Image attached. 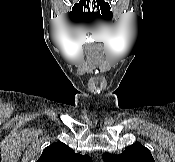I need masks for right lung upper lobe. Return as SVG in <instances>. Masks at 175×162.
Returning a JSON list of instances; mask_svg holds the SVG:
<instances>
[{"instance_id": "1", "label": "right lung upper lobe", "mask_w": 175, "mask_h": 162, "mask_svg": "<svg viewBox=\"0 0 175 162\" xmlns=\"http://www.w3.org/2000/svg\"><path fill=\"white\" fill-rule=\"evenodd\" d=\"M37 162H92L89 155L75 153L62 142L53 143L43 150Z\"/></svg>"}]
</instances>
